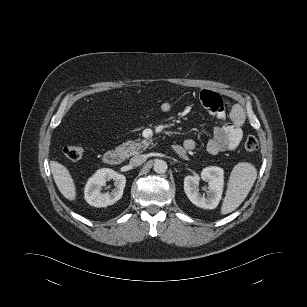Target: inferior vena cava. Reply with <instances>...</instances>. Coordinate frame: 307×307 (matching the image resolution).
Wrapping results in <instances>:
<instances>
[{"instance_id": "obj_1", "label": "inferior vena cava", "mask_w": 307, "mask_h": 307, "mask_svg": "<svg viewBox=\"0 0 307 307\" xmlns=\"http://www.w3.org/2000/svg\"><path fill=\"white\" fill-rule=\"evenodd\" d=\"M145 161H146L145 155H137V156L132 157L129 163L131 166H139L143 164Z\"/></svg>"}]
</instances>
